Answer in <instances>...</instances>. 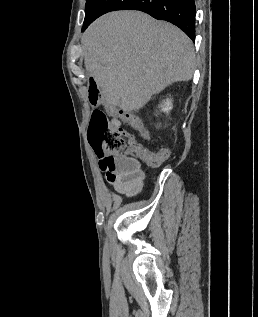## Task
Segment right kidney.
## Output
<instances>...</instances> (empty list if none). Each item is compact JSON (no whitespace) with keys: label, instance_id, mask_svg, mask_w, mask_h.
Segmentation results:
<instances>
[{"label":"right kidney","instance_id":"ca27d5eb","mask_svg":"<svg viewBox=\"0 0 258 317\" xmlns=\"http://www.w3.org/2000/svg\"><path fill=\"white\" fill-rule=\"evenodd\" d=\"M160 108L163 110V112H169V110L172 108L171 98H165L163 104H160Z\"/></svg>","mask_w":258,"mask_h":317}]
</instances>
